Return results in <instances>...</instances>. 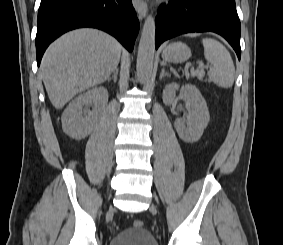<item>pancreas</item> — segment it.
Returning <instances> with one entry per match:
<instances>
[{
    "mask_svg": "<svg viewBox=\"0 0 283 245\" xmlns=\"http://www.w3.org/2000/svg\"><path fill=\"white\" fill-rule=\"evenodd\" d=\"M204 71H192L191 76L192 77H198L200 80L204 77Z\"/></svg>",
    "mask_w": 283,
    "mask_h": 245,
    "instance_id": "1",
    "label": "pancreas"
}]
</instances>
